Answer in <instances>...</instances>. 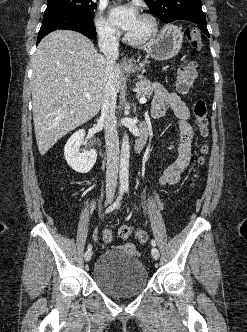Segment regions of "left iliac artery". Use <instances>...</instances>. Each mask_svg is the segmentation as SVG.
Here are the masks:
<instances>
[{
    "instance_id": "44dca946",
    "label": "left iliac artery",
    "mask_w": 247,
    "mask_h": 332,
    "mask_svg": "<svg viewBox=\"0 0 247 332\" xmlns=\"http://www.w3.org/2000/svg\"><path fill=\"white\" fill-rule=\"evenodd\" d=\"M151 244L153 245V246H156V241L155 240H151Z\"/></svg>"
}]
</instances>
